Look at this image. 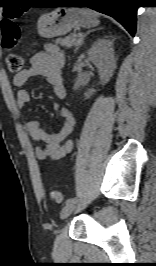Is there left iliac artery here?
<instances>
[{
  "instance_id": "left-iliac-artery-1",
  "label": "left iliac artery",
  "mask_w": 156,
  "mask_h": 266,
  "mask_svg": "<svg viewBox=\"0 0 156 266\" xmlns=\"http://www.w3.org/2000/svg\"><path fill=\"white\" fill-rule=\"evenodd\" d=\"M80 202V199H75V198H70L66 201V204H70V203H78Z\"/></svg>"
}]
</instances>
